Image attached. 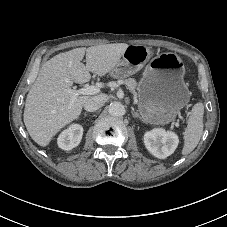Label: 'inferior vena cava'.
Instances as JSON below:
<instances>
[{
  "label": "inferior vena cava",
  "instance_id": "1",
  "mask_svg": "<svg viewBox=\"0 0 227 227\" xmlns=\"http://www.w3.org/2000/svg\"><path fill=\"white\" fill-rule=\"evenodd\" d=\"M106 102V97L103 95L90 97L84 103V109L89 112H93L101 108Z\"/></svg>",
  "mask_w": 227,
  "mask_h": 227
}]
</instances>
